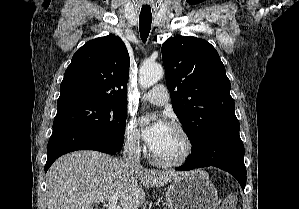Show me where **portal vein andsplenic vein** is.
<instances>
[{
  "label": "portal vein and splenic vein",
  "instance_id": "1",
  "mask_svg": "<svg viewBox=\"0 0 299 209\" xmlns=\"http://www.w3.org/2000/svg\"><path fill=\"white\" fill-rule=\"evenodd\" d=\"M117 196H112L108 201V209H122L119 205H117Z\"/></svg>",
  "mask_w": 299,
  "mask_h": 209
}]
</instances>
